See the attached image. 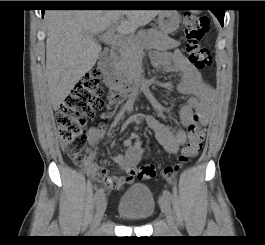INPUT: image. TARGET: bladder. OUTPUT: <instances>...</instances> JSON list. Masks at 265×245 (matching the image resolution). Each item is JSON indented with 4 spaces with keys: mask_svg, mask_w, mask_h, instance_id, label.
<instances>
[{
    "mask_svg": "<svg viewBox=\"0 0 265 245\" xmlns=\"http://www.w3.org/2000/svg\"><path fill=\"white\" fill-rule=\"evenodd\" d=\"M156 207L149 188L146 185L134 184L121 196L117 213L129 222L140 223L152 216Z\"/></svg>",
    "mask_w": 265,
    "mask_h": 245,
    "instance_id": "bladder-1",
    "label": "bladder"
}]
</instances>
